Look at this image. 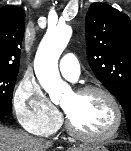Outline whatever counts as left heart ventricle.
Instances as JSON below:
<instances>
[{"label":"left heart ventricle","instance_id":"left-heart-ventricle-1","mask_svg":"<svg viewBox=\"0 0 131 151\" xmlns=\"http://www.w3.org/2000/svg\"><path fill=\"white\" fill-rule=\"evenodd\" d=\"M62 107L76 128L88 134H106L115 124L112 105L99 93L77 95L72 92L66 96Z\"/></svg>","mask_w":131,"mask_h":151}]
</instances>
